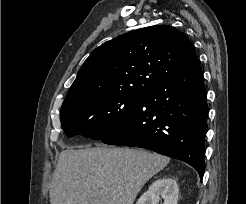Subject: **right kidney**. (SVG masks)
Masks as SVG:
<instances>
[{"mask_svg": "<svg viewBox=\"0 0 246 204\" xmlns=\"http://www.w3.org/2000/svg\"><path fill=\"white\" fill-rule=\"evenodd\" d=\"M179 188L175 180L167 177L154 181L136 204H158L160 197L163 204H177Z\"/></svg>", "mask_w": 246, "mask_h": 204, "instance_id": "obj_1", "label": "right kidney"}]
</instances>
